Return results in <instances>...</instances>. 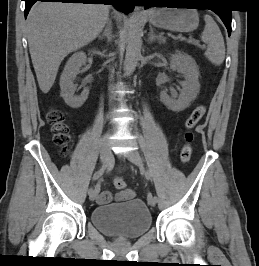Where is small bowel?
I'll use <instances>...</instances> for the list:
<instances>
[{"label": "small bowel", "mask_w": 259, "mask_h": 266, "mask_svg": "<svg viewBox=\"0 0 259 266\" xmlns=\"http://www.w3.org/2000/svg\"><path fill=\"white\" fill-rule=\"evenodd\" d=\"M135 193L132 189H125L123 191H120L116 195V199L119 201H124V200H130L134 198ZM112 195L109 191H103L100 193V195L97 197V203L98 204H107L111 201Z\"/></svg>", "instance_id": "small-bowel-1"}]
</instances>
